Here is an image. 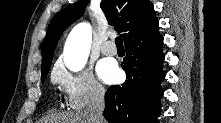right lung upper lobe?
Listing matches in <instances>:
<instances>
[{"mask_svg": "<svg viewBox=\"0 0 221 123\" xmlns=\"http://www.w3.org/2000/svg\"><path fill=\"white\" fill-rule=\"evenodd\" d=\"M88 0H80L58 12L52 19L42 46V69L51 64L63 31L84 13ZM108 23L122 33L125 45L158 31V20L149 0H102ZM41 69V70H42Z\"/></svg>", "mask_w": 221, "mask_h": 123, "instance_id": "cb5924a9", "label": "right lung upper lobe"}]
</instances>
